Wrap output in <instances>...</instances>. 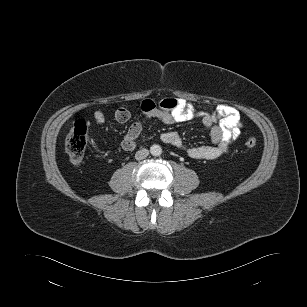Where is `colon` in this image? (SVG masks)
<instances>
[{
	"mask_svg": "<svg viewBox=\"0 0 307 307\" xmlns=\"http://www.w3.org/2000/svg\"><path fill=\"white\" fill-rule=\"evenodd\" d=\"M257 141L254 137H247L244 142L246 149L252 150L256 147ZM87 145V125L84 121L78 120L74 123L65 140V149L73 164H79L84 158Z\"/></svg>",
	"mask_w": 307,
	"mask_h": 307,
	"instance_id": "obj_1",
	"label": "colon"
}]
</instances>
